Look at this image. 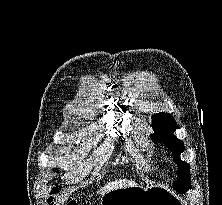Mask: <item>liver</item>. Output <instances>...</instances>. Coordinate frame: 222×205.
I'll use <instances>...</instances> for the list:
<instances>
[{
  "mask_svg": "<svg viewBox=\"0 0 222 205\" xmlns=\"http://www.w3.org/2000/svg\"><path fill=\"white\" fill-rule=\"evenodd\" d=\"M131 185H136V183L134 181H127V180H116L113 182L108 183L106 186L100 188V190L98 191L100 194H104L108 191L117 189V188H123L126 186H131Z\"/></svg>",
  "mask_w": 222,
  "mask_h": 205,
  "instance_id": "liver-1",
  "label": "liver"
}]
</instances>
